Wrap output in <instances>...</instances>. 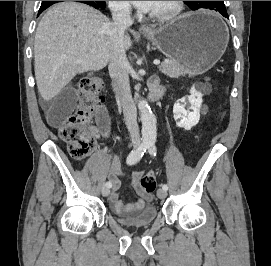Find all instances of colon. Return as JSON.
Returning <instances> with one entry per match:
<instances>
[{
    "label": "colon",
    "instance_id": "colon-1",
    "mask_svg": "<svg viewBox=\"0 0 271 266\" xmlns=\"http://www.w3.org/2000/svg\"><path fill=\"white\" fill-rule=\"evenodd\" d=\"M79 101L72 114L63 122L60 130L62 139L68 145V151L74 158L87 156L95 147V137L90 121L104 101L102 81L93 74L83 77L78 86ZM140 189L152 193L156 187L153 172L145 174L138 183Z\"/></svg>",
    "mask_w": 271,
    "mask_h": 266
}]
</instances>
